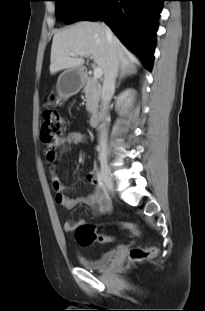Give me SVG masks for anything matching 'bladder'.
I'll return each instance as SVG.
<instances>
[{
    "instance_id": "1",
    "label": "bladder",
    "mask_w": 205,
    "mask_h": 311,
    "mask_svg": "<svg viewBox=\"0 0 205 311\" xmlns=\"http://www.w3.org/2000/svg\"><path fill=\"white\" fill-rule=\"evenodd\" d=\"M117 249H109L102 254H100L99 257L95 259H91L87 257L84 254L78 255V260L85 269L92 270V271H98L106 268L109 264H111L117 256Z\"/></svg>"
}]
</instances>
